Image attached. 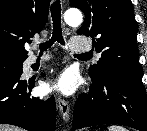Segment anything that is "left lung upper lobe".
<instances>
[{
    "instance_id": "5c2ea615",
    "label": "left lung upper lobe",
    "mask_w": 147,
    "mask_h": 131,
    "mask_svg": "<svg viewBox=\"0 0 147 131\" xmlns=\"http://www.w3.org/2000/svg\"><path fill=\"white\" fill-rule=\"evenodd\" d=\"M70 3L85 14L77 34L92 37L96 51L101 53L97 64L90 66L91 79L119 76L142 83L137 23L131 1L70 0Z\"/></svg>"
}]
</instances>
